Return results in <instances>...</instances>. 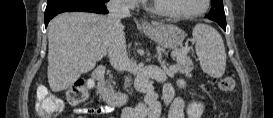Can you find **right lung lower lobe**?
Here are the masks:
<instances>
[{
    "instance_id": "obj_1",
    "label": "right lung lower lobe",
    "mask_w": 273,
    "mask_h": 118,
    "mask_svg": "<svg viewBox=\"0 0 273 118\" xmlns=\"http://www.w3.org/2000/svg\"><path fill=\"white\" fill-rule=\"evenodd\" d=\"M71 11L107 14L108 10L103 0H48L45 10V27L57 14Z\"/></svg>"
}]
</instances>
